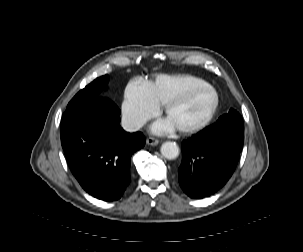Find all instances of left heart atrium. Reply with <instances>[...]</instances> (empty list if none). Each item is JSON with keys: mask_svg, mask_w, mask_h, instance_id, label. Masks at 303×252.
<instances>
[{"mask_svg": "<svg viewBox=\"0 0 303 252\" xmlns=\"http://www.w3.org/2000/svg\"><path fill=\"white\" fill-rule=\"evenodd\" d=\"M174 126L168 119L158 120L152 125V132L156 134L168 133L173 130Z\"/></svg>", "mask_w": 303, "mask_h": 252, "instance_id": "1", "label": "left heart atrium"}]
</instances>
